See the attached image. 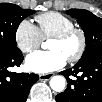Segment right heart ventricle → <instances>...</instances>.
I'll return each mask as SVG.
<instances>
[{
	"instance_id": "1",
	"label": "right heart ventricle",
	"mask_w": 102,
	"mask_h": 102,
	"mask_svg": "<svg viewBox=\"0 0 102 102\" xmlns=\"http://www.w3.org/2000/svg\"><path fill=\"white\" fill-rule=\"evenodd\" d=\"M36 21L42 39L52 38L75 26V22L70 17L54 11L37 15Z\"/></svg>"
}]
</instances>
